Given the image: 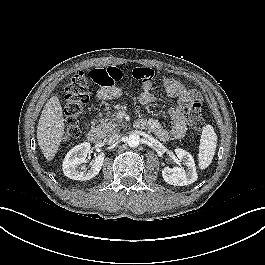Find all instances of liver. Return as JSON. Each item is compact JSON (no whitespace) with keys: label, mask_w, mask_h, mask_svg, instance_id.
Returning <instances> with one entry per match:
<instances>
[{"label":"liver","mask_w":265,"mask_h":265,"mask_svg":"<svg viewBox=\"0 0 265 265\" xmlns=\"http://www.w3.org/2000/svg\"><path fill=\"white\" fill-rule=\"evenodd\" d=\"M65 123L63 110L57 96H52L42 110L38 127V145L47 161H51L62 142Z\"/></svg>","instance_id":"liver-1"}]
</instances>
